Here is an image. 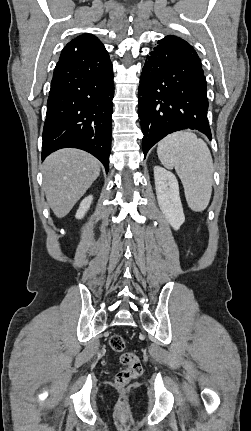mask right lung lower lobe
<instances>
[{
    "label": "right lung lower lobe",
    "mask_w": 251,
    "mask_h": 431,
    "mask_svg": "<svg viewBox=\"0 0 251 431\" xmlns=\"http://www.w3.org/2000/svg\"><path fill=\"white\" fill-rule=\"evenodd\" d=\"M113 96V68L104 46L62 51L47 102L42 160L73 147L98 158L107 173Z\"/></svg>",
    "instance_id": "1"
}]
</instances>
